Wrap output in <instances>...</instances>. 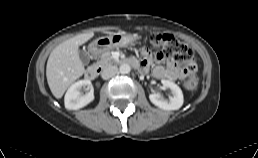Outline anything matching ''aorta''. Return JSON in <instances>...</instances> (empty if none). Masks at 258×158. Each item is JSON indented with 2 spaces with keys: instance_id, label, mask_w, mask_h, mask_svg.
Here are the masks:
<instances>
[{
  "instance_id": "1",
  "label": "aorta",
  "mask_w": 258,
  "mask_h": 158,
  "mask_svg": "<svg viewBox=\"0 0 258 158\" xmlns=\"http://www.w3.org/2000/svg\"><path fill=\"white\" fill-rule=\"evenodd\" d=\"M119 72L121 74H128L130 72V66L128 64H122L119 67Z\"/></svg>"
}]
</instances>
